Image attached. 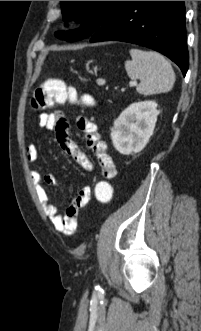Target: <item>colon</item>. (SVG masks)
I'll return each mask as SVG.
<instances>
[{
    "label": "colon",
    "mask_w": 201,
    "mask_h": 331,
    "mask_svg": "<svg viewBox=\"0 0 201 331\" xmlns=\"http://www.w3.org/2000/svg\"><path fill=\"white\" fill-rule=\"evenodd\" d=\"M78 103L90 106L93 101L89 96L79 97L76 89L58 79H47L34 92L32 106L35 109H46L56 104ZM95 198L101 205H107L113 197L112 184L107 179H101L95 186Z\"/></svg>",
    "instance_id": "5ec220e1"
}]
</instances>
